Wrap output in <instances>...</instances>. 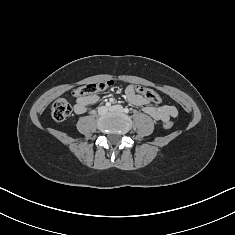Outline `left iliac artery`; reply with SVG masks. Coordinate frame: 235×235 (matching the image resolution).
Returning <instances> with one entry per match:
<instances>
[{"label":"left iliac artery","mask_w":235,"mask_h":235,"mask_svg":"<svg viewBox=\"0 0 235 235\" xmlns=\"http://www.w3.org/2000/svg\"><path fill=\"white\" fill-rule=\"evenodd\" d=\"M124 112H125V113H128V112H129V109H128V108H124Z\"/></svg>","instance_id":"left-iliac-artery-1"}]
</instances>
